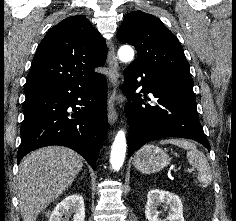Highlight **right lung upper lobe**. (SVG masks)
<instances>
[{
  "instance_id": "obj_1",
  "label": "right lung upper lobe",
  "mask_w": 236,
  "mask_h": 221,
  "mask_svg": "<svg viewBox=\"0 0 236 221\" xmlns=\"http://www.w3.org/2000/svg\"><path fill=\"white\" fill-rule=\"evenodd\" d=\"M106 55L105 40L86 18L67 17L38 46L24 91L95 75Z\"/></svg>"
}]
</instances>
